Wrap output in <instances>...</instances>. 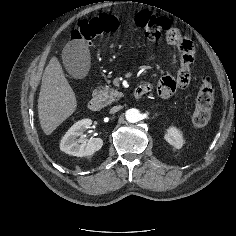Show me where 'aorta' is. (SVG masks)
Here are the masks:
<instances>
[{"label": "aorta", "mask_w": 236, "mask_h": 236, "mask_svg": "<svg viewBox=\"0 0 236 236\" xmlns=\"http://www.w3.org/2000/svg\"><path fill=\"white\" fill-rule=\"evenodd\" d=\"M126 120L130 123H136L140 120V112L138 109L132 108L126 112Z\"/></svg>", "instance_id": "1"}]
</instances>
